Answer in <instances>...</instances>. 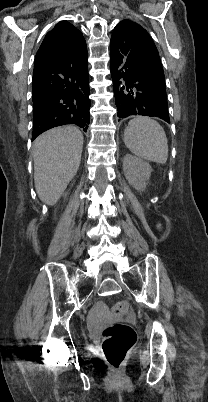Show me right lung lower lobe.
I'll use <instances>...</instances> for the list:
<instances>
[{"label": "right lung lower lobe", "mask_w": 208, "mask_h": 402, "mask_svg": "<svg viewBox=\"0 0 208 402\" xmlns=\"http://www.w3.org/2000/svg\"><path fill=\"white\" fill-rule=\"evenodd\" d=\"M87 46L84 37L69 49L35 58L32 141L53 127L90 121Z\"/></svg>", "instance_id": "1"}]
</instances>
